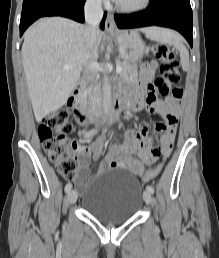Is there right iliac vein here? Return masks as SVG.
Segmentation results:
<instances>
[{"label":"right iliac vein","instance_id":"1","mask_svg":"<svg viewBox=\"0 0 219 258\" xmlns=\"http://www.w3.org/2000/svg\"><path fill=\"white\" fill-rule=\"evenodd\" d=\"M77 200V193L75 190H71L68 192V201L70 204H74Z\"/></svg>","mask_w":219,"mask_h":258}]
</instances>
